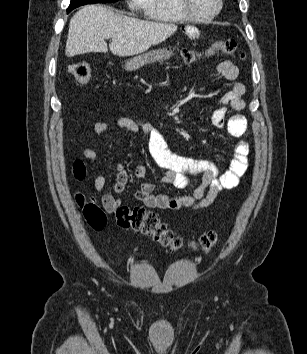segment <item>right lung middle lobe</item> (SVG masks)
I'll list each match as a JSON object with an SVG mask.
<instances>
[{
  "label": "right lung middle lobe",
  "mask_w": 307,
  "mask_h": 354,
  "mask_svg": "<svg viewBox=\"0 0 307 354\" xmlns=\"http://www.w3.org/2000/svg\"><path fill=\"white\" fill-rule=\"evenodd\" d=\"M116 1H118V0H71L70 5L67 9V12L69 13L74 8L85 5V4L108 3V2H116Z\"/></svg>",
  "instance_id": "right-lung-middle-lobe-1"
}]
</instances>
